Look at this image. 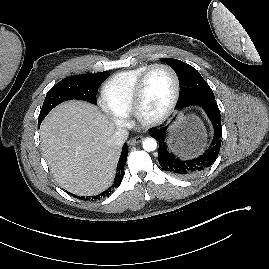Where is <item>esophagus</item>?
Instances as JSON below:
<instances>
[{
    "instance_id": "34e87169",
    "label": "esophagus",
    "mask_w": 269,
    "mask_h": 269,
    "mask_svg": "<svg viewBox=\"0 0 269 269\" xmlns=\"http://www.w3.org/2000/svg\"><path fill=\"white\" fill-rule=\"evenodd\" d=\"M143 139H144L143 136H136V137L130 139L128 143H129V145L134 146V145H136L137 143L142 142Z\"/></svg>"
}]
</instances>
